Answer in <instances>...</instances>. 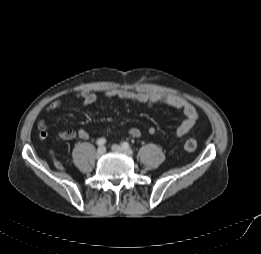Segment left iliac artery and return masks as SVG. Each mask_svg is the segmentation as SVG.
Segmentation results:
<instances>
[{
    "label": "left iliac artery",
    "instance_id": "obj_1",
    "mask_svg": "<svg viewBox=\"0 0 261 254\" xmlns=\"http://www.w3.org/2000/svg\"><path fill=\"white\" fill-rule=\"evenodd\" d=\"M122 147L125 149H129L130 148V144L128 142H123L122 143Z\"/></svg>",
    "mask_w": 261,
    "mask_h": 254
}]
</instances>
